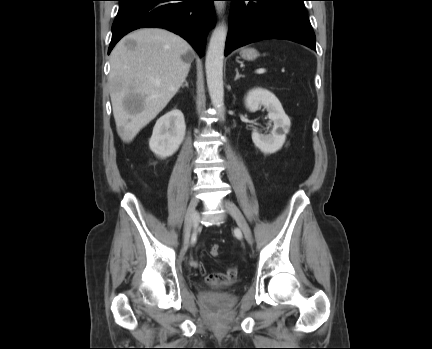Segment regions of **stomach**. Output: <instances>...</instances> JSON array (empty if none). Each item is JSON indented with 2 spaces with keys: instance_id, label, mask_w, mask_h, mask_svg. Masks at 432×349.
<instances>
[{
  "instance_id": "0dacf381",
  "label": "stomach",
  "mask_w": 432,
  "mask_h": 349,
  "mask_svg": "<svg viewBox=\"0 0 432 349\" xmlns=\"http://www.w3.org/2000/svg\"><path fill=\"white\" fill-rule=\"evenodd\" d=\"M240 56L245 60L253 61L258 57V51L254 48H242Z\"/></svg>"
}]
</instances>
